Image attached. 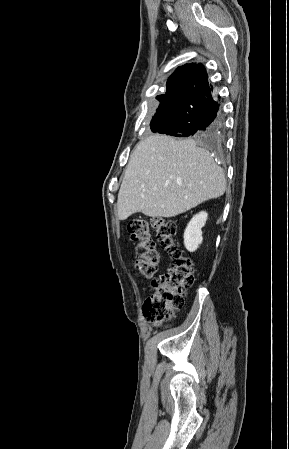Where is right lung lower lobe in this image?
Wrapping results in <instances>:
<instances>
[{
    "mask_svg": "<svg viewBox=\"0 0 289 449\" xmlns=\"http://www.w3.org/2000/svg\"><path fill=\"white\" fill-rule=\"evenodd\" d=\"M207 79L182 77L170 85L168 100L172 120L159 133L176 137H212L222 131L219 104Z\"/></svg>",
    "mask_w": 289,
    "mask_h": 449,
    "instance_id": "98d812e1",
    "label": "right lung lower lobe"
}]
</instances>
